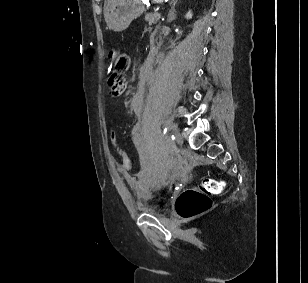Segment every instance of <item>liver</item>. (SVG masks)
<instances>
[{
	"mask_svg": "<svg viewBox=\"0 0 308 283\" xmlns=\"http://www.w3.org/2000/svg\"><path fill=\"white\" fill-rule=\"evenodd\" d=\"M114 0H107V5H109L110 3H112Z\"/></svg>",
	"mask_w": 308,
	"mask_h": 283,
	"instance_id": "1",
	"label": "liver"
}]
</instances>
